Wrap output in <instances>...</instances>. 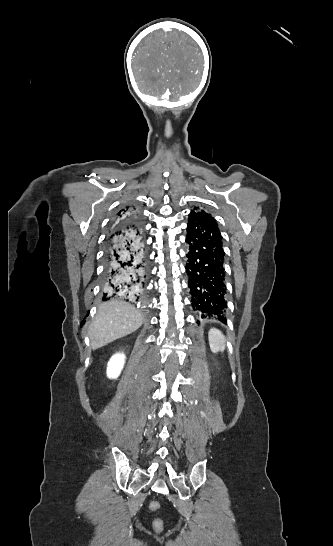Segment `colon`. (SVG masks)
Returning <instances> with one entry per match:
<instances>
[{
	"mask_svg": "<svg viewBox=\"0 0 333 546\" xmlns=\"http://www.w3.org/2000/svg\"><path fill=\"white\" fill-rule=\"evenodd\" d=\"M149 508H150L151 511L156 512V511L160 510L161 505H160L159 502L153 501V502L150 503ZM163 527H164V523H163L162 519H160V518L154 519L153 528L156 531H158V532L162 531Z\"/></svg>",
	"mask_w": 333,
	"mask_h": 546,
	"instance_id": "colon-1",
	"label": "colon"
}]
</instances>
